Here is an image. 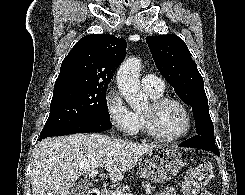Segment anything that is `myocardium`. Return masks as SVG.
<instances>
[{"instance_id": "myocardium-1", "label": "myocardium", "mask_w": 245, "mask_h": 195, "mask_svg": "<svg viewBox=\"0 0 245 195\" xmlns=\"http://www.w3.org/2000/svg\"><path fill=\"white\" fill-rule=\"evenodd\" d=\"M167 104H176L178 105L185 113L186 116V125L185 128L183 129V131H181L179 134L176 135H172V136H167V135H163L159 132L156 131L154 125H153V116L154 114L161 109L163 106L167 105ZM142 119H143V130L145 131V133L156 139V140H160V141H164V142H174L177 140H180L182 138H184L185 136H187L193 126V117L192 114L190 112V110L188 109V107L186 106V104L177 99V98H173V97H159L157 99H154L150 102V108L148 112H142Z\"/></svg>"}]
</instances>
